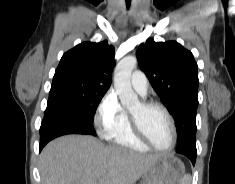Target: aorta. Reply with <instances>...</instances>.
<instances>
[{
    "label": "aorta",
    "mask_w": 235,
    "mask_h": 184,
    "mask_svg": "<svg viewBox=\"0 0 235 184\" xmlns=\"http://www.w3.org/2000/svg\"><path fill=\"white\" fill-rule=\"evenodd\" d=\"M137 60L133 56L123 58L114 72V88L120 98L122 106H140L137 94L131 88L132 70L136 68Z\"/></svg>",
    "instance_id": "obj_1"
}]
</instances>
